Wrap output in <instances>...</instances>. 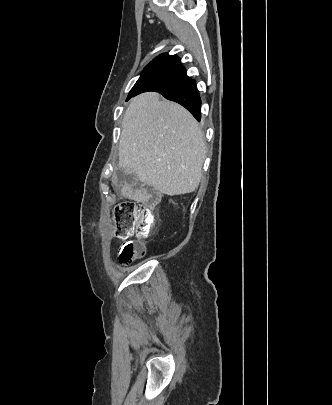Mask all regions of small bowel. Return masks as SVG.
<instances>
[{"instance_id": "obj_1", "label": "small bowel", "mask_w": 332, "mask_h": 405, "mask_svg": "<svg viewBox=\"0 0 332 405\" xmlns=\"http://www.w3.org/2000/svg\"><path fill=\"white\" fill-rule=\"evenodd\" d=\"M141 182L139 172H129L128 168H117L110 178L111 186H140Z\"/></svg>"}]
</instances>
